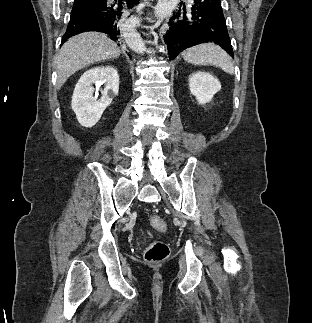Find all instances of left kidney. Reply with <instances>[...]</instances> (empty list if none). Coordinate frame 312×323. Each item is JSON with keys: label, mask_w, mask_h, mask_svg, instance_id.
I'll return each instance as SVG.
<instances>
[{"label": "left kidney", "mask_w": 312, "mask_h": 323, "mask_svg": "<svg viewBox=\"0 0 312 323\" xmlns=\"http://www.w3.org/2000/svg\"><path fill=\"white\" fill-rule=\"evenodd\" d=\"M191 94L196 96L199 104H206L212 100L214 94L221 90V84L217 78L208 72H195L189 78Z\"/></svg>", "instance_id": "1"}]
</instances>
